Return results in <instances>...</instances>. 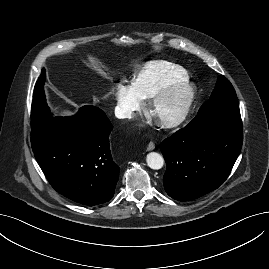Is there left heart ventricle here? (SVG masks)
Listing matches in <instances>:
<instances>
[{
  "label": "left heart ventricle",
  "instance_id": "b2bd125f",
  "mask_svg": "<svg viewBox=\"0 0 269 269\" xmlns=\"http://www.w3.org/2000/svg\"><path fill=\"white\" fill-rule=\"evenodd\" d=\"M182 102L180 95L172 96L161 104H159L153 111V117L157 120H167L173 118L179 112Z\"/></svg>",
  "mask_w": 269,
  "mask_h": 269
}]
</instances>
